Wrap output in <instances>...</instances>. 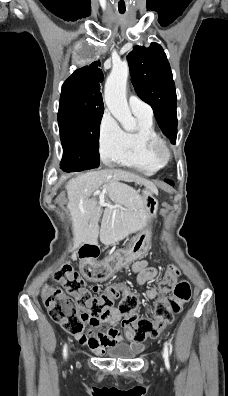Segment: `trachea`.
<instances>
[{
	"instance_id": "1",
	"label": "trachea",
	"mask_w": 228,
	"mask_h": 396,
	"mask_svg": "<svg viewBox=\"0 0 228 396\" xmlns=\"http://www.w3.org/2000/svg\"><path fill=\"white\" fill-rule=\"evenodd\" d=\"M120 13H121V14H123V13H124V11H120Z\"/></svg>"
}]
</instances>
